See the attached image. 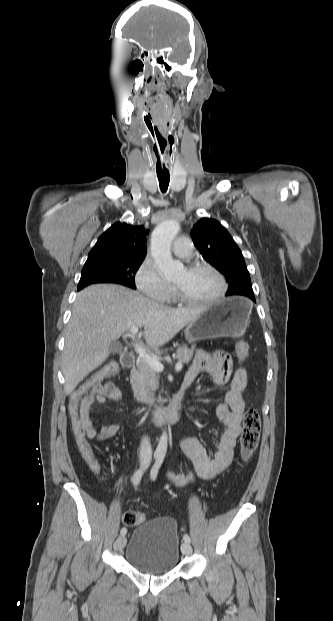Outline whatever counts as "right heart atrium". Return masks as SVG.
<instances>
[{
	"label": "right heart atrium",
	"mask_w": 333,
	"mask_h": 621,
	"mask_svg": "<svg viewBox=\"0 0 333 621\" xmlns=\"http://www.w3.org/2000/svg\"><path fill=\"white\" fill-rule=\"evenodd\" d=\"M135 284L141 293L156 302H165L172 294L171 285L161 278L156 267L147 260L139 266Z\"/></svg>",
	"instance_id": "d8ad5b80"
}]
</instances>
